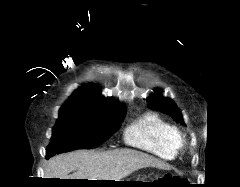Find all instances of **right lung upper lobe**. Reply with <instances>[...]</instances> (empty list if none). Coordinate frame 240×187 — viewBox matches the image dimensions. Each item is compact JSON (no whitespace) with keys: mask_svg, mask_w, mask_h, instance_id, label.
<instances>
[{"mask_svg":"<svg viewBox=\"0 0 240 187\" xmlns=\"http://www.w3.org/2000/svg\"><path fill=\"white\" fill-rule=\"evenodd\" d=\"M61 109L97 113H114L124 110L119 102L99 95L94 85H85L82 89L75 91Z\"/></svg>","mask_w":240,"mask_h":187,"instance_id":"cb5924a9","label":"right lung upper lobe"}]
</instances>
